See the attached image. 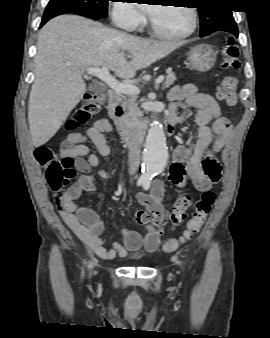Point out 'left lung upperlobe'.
Masks as SVG:
<instances>
[{"instance_id": "1", "label": "left lung upper lobe", "mask_w": 270, "mask_h": 338, "mask_svg": "<svg viewBox=\"0 0 270 338\" xmlns=\"http://www.w3.org/2000/svg\"><path fill=\"white\" fill-rule=\"evenodd\" d=\"M228 0H199L198 12L201 21L200 36H206L229 22H233L232 11L227 7Z\"/></svg>"}]
</instances>
